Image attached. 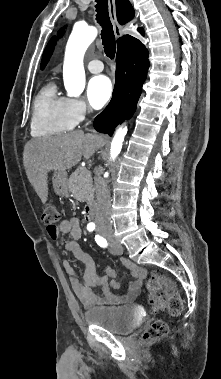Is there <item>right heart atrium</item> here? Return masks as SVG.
Masks as SVG:
<instances>
[{
  "label": "right heart atrium",
  "mask_w": 221,
  "mask_h": 379,
  "mask_svg": "<svg viewBox=\"0 0 221 379\" xmlns=\"http://www.w3.org/2000/svg\"><path fill=\"white\" fill-rule=\"evenodd\" d=\"M67 105L75 123L81 122L90 112L88 105L81 99L66 98Z\"/></svg>",
  "instance_id": "1"
}]
</instances>
